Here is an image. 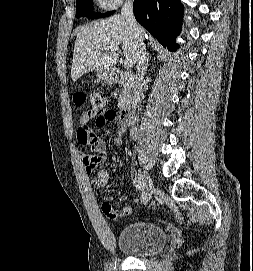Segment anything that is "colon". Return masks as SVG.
I'll return each instance as SVG.
<instances>
[{"mask_svg": "<svg viewBox=\"0 0 253 271\" xmlns=\"http://www.w3.org/2000/svg\"><path fill=\"white\" fill-rule=\"evenodd\" d=\"M86 101H89L91 104V113L93 115H101L104 114L106 119L110 121H114L116 114L114 111L109 110L105 111V105H106V99L103 94L98 93V92H93L90 94L86 93H77L74 96V102L77 105H82ZM103 206H108V205H103Z\"/></svg>", "mask_w": 253, "mask_h": 271, "instance_id": "5ec220e1", "label": "colon"}]
</instances>
